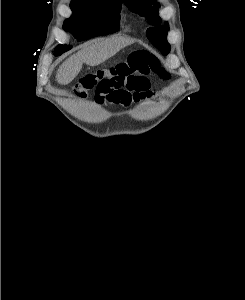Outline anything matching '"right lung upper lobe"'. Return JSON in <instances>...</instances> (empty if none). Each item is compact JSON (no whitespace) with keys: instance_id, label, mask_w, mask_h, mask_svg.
Returning <instances> with one entry per match:
<instances>
[{"instance_id":"cb5924a9","label":"right lung upper lobe","mask_w":245,"mask_h":300,"mask_svg":"<svg viewBox=\"0 0 245 300\" xmlns=\"http://www.w3.org/2000/svg\"><path fill=\"white\" fill-rule=\"evenodd\" d=\"M114 1H120V2H122V0H114Z\"/></svg>"}]
</instances>
